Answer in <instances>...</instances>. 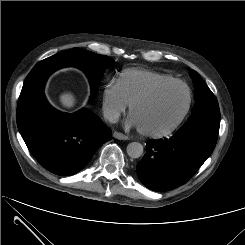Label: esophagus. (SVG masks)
<instances>
[{
    "label": "esophagus",
    "instance_id": "obj_1",
    "mask_svg": "<svg viewBox=\"0 0 245 245\" xmlns=\"http://www.w3.org/2000/svg\"><path fill=\"white\" fill-rule=\"evenodd\" d=\"M113 137L116 138V139H119V140H128L129 137L123 133H120V132H113Z\"/></svg>",
    "mask_w": 245,
    "mask_h": 245
}]
</instances>
